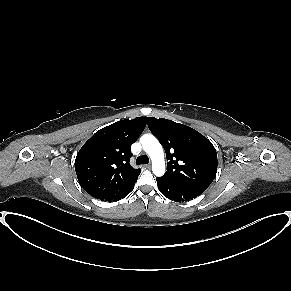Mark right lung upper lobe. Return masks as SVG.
I'll use <instances>...</instances> for the list:
<instances>
[{
    "instance_id": "cb5924a9",
    "label": "right lung upper lobe",
    "mask_w": 291,
    "mask_h": 291,
    "mask_svg": "<svg viewBox=\"0 0 291 291\" xmlns=\"http://www.w3.org/2000/svg\"><path fill=\"white\" fill-rule=\"evenodd\" d=\"M147 117L124 119L97 131L80 149L75 171L81 187L92 197L112 201L135 184L140 169L131 167V145L138 139Z\"/></svg>"
}]
</instances>
